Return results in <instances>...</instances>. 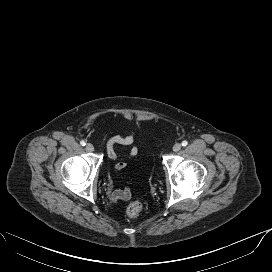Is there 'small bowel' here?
Here are the masks:
<instances>
[{"instance_id": "small-bowel-1", "label": "small bowel", "mask_w": 272, "mask_h": 272, "mask_svg": "<svg viewBox=\"0 0 272 272\" xmlns=\"http://www.w3.org/2000/svg\"><path fill=\"white\" fill-rule=\"evenodd\" d=\"M135 140V132L134 130H130L128 134L126 135H117L113 136L108 139L107 144H106V150L107 154L111 159L116 160L115 164V170L117 172H120L123 170L127 163L124 158L120 157L116 151H115V146L116 145H122V146H130L134 143ZM138 154V148L136 146H132L128 152L127 157L132 158L135 157ZM111 200L116 203L119 200H128L131 197V190L130 188H125V189H115L112 190L110 193Z\"/></svg>"}]
</instances>
